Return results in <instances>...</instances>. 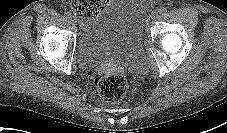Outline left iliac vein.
I'll return each instance as SVG.
<instances>
[{"label": "left iliac vein", "mask_w": 227, "mask_h": 133, "mask_svg": "<svg viewBox=\"0 0 227 133\" xmlns=\"http://www.w3.org/2000/svg\"><path fill=\"white\" fill-rule=\"evenodd\" d=\"M158 17V11L157 10H154L151 14V18L152 19H156Z\"/></svg>", "instance_id": "obj_1"}]
</instances>
